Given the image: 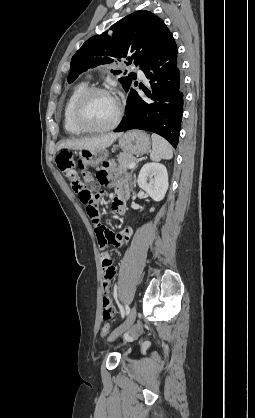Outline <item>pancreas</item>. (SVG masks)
<instances>
[{
  "label": "pancreas",
  "instance_id": "pancreas-1",
  "mask_svg": "<svg viewBox=\"0 0 255 418\" xmlns=\"http://www.w3.org/2000/svg\"><path fill=\"white\" fill-rule=\"evenodd\" d=\"M119 163V169L126 170L132 162L136 161V158L133 155L122 153L117 158Z\"/></svg>",
  "mask_w": 255,
  "mask_h": 418
}]
</instances>
